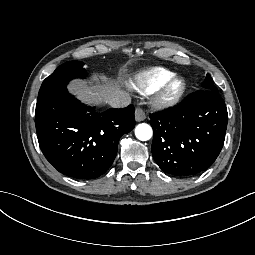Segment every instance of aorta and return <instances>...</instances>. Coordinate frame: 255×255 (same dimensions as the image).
I'll return each instance as SVG.
<instances>
[{
	"label": "aorta",
	"mask_w": 255,
	"mask_h": 255,
	"mask_svg": "<svg viewBox=\"0 0 255 255\" xmlns=\"http://www.w3.org/2000/svg\"><path fill=\"white\" fill-rule=\"evenodd\" d=\"M152 128L146 123H141L135 128V135L141 141H147L152 137Z\"/></svg>",
	"instance_id": "762f6f07"
}]
</instances>
